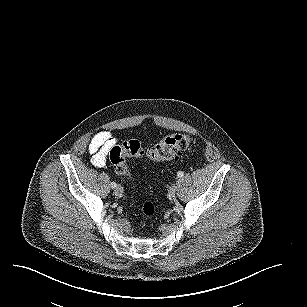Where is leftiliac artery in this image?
Segmentation results:
<instances>
[{
    "instance_id": "44dca946",
    "label": "left iliac artery",
    "mask_w": 307,
    "mask_h": 307,
    "mask_svg": "<svg viewBox=\"0 0 307 307\" xmlns=\"http://www.w3.org/2000/svg\"><path fill=\"white\" fill-rule=\"evenodd\" d=\"M183 175H184V174H183V172H181V171H179V172L177 173V176L180 177V178L183 177Z\"/></svg>"
}]
</instances>
